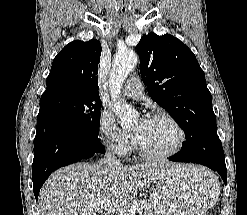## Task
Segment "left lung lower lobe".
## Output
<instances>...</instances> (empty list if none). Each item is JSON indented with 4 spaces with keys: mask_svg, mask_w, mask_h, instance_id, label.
Instances as JSON below:
<instances>
[{
    "mask_svg": "<svg viewBox=\"0 0 247 215\" xmlns=\"http://www.w3.org/2000/svg\"><path fill=\"white\" fill-rule=\"evenodd\" d=\"M194 148H182L170 161L202 164L218 172L226 184V164L224 151L218 135L196 138Z\"/></svg>",
    "mask_w": 247,
    "mask_h": 215,
    "instance_id": "left-lung-lower-lobe-1",
    "label": "left lung lower lobe"
}]
</instances>
